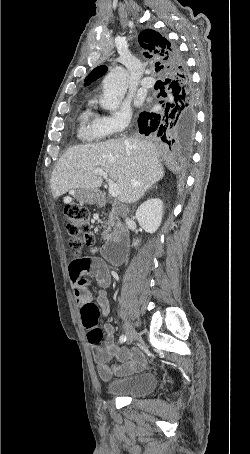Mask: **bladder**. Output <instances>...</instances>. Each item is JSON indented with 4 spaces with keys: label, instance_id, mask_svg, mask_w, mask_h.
<instances>
[{
    "label": "bladder",
    "instance_id": "obj_1",
    "mask_svg": "<svg viewBox=\"0 0 250 454\" xmlns=\"http://www.w3.org/2000/svg\"><path fill=\"white\" fill-rule=\"evenodd\" d=\"M158 386V377L154 371H146L118 379L106 384L110 396L140 398L149 395Z\"/></svg>",
    "mask_w": 250,
    "mask_h": 454
}]
</instances>
